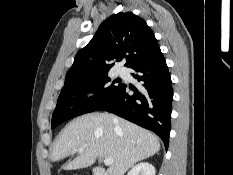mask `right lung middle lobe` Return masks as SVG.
<instances>
[{
	"label": "right lung middle lobe",
	"mask_w": 233,
	"mask_h": 175,
	"mask_svg": "<svg viewBox=\"0 0 233 175\" xmlns=\"http://www.w3.org/2000/svg\"><path fill=\"white\" fill-rule=\"evenodd\" d=\"M107 74L65 81L52 115V128L68 119L96 111L110 101L123 84L114 85L117 81L110 84ZM88 90L96 94L86 98Z\"/></svg>",
	"instance_id": "1"
}]
</instances>
